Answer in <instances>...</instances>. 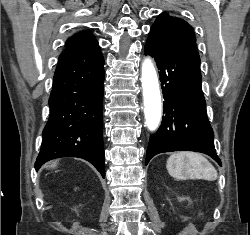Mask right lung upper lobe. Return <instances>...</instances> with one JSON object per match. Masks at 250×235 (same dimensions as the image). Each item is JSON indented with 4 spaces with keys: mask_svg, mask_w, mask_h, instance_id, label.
<instances>
[{
    "mask_svg": "<svg viewBox=\"0 0 250 235\" xmlns=\"http://www.w3.org/2000/svg\"><path fill=\"white\" fill-rule=\"evenodd\" d=\"M94 35L91 31L84 30L83 32H78L74 34L72 37H69L65 44V50L62 52V54L68 50L74 49L76 47H80L83 45H87L89 43L96 42ZM61 54V55H62Z\"/></svg>",
    "mask_w": 250,
    "mask_h": 235,
    "instance_id": "cb5924a9",
    "label": "right lung upper lobe"
}]
</instances>
